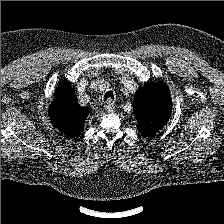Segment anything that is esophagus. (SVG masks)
I'll list each match as a JSON object with an SVG mask.
<instances>
[{
  "mask_svg": "<svg viewBox=\"0 0 224 224\" xmlns=\"http://www.w3.org/2000/svg\"><path fill=\"white\" fill-rule=\"evenodd\" d=\"M105 109L109 113H113L115 111V105H114V102L112 101V99H108L106 101Z\"/></svg>",
  "mask_w": 224,
  "mask_h": 224,
  "instance_id": "34e87169",
  "label": "esophagus"
}]
</instances>
